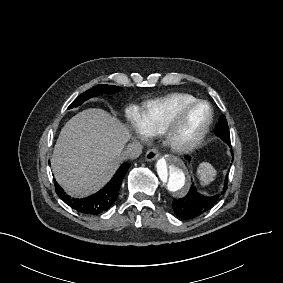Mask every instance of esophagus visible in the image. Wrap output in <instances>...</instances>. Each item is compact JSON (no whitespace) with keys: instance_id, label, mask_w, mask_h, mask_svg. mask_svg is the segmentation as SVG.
Segmentation results:
<instances>
[{"instance_id":"esophagus-1","label":"esophagus","mask_w":283,"mask_h":283,"mask_svg":"<svg viewBox=\"0 0 283 283\" xmlns=\"http://www.w3.org/2000/svg\"><path fill=\"white\" fill-rule=\"evenodd\" d=\"M158 157H159V152L155 148L148 150L145 155V159L150 162L156 160Z\"/></svg>"}]
</instances>
